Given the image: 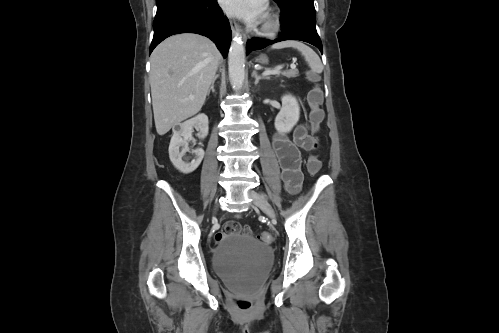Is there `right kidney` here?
I'll use <instances>...</instances> for the list:
<instances>
[{
	"label": "right kidney",
	"mask_w": 499,
	"mask_h": 333,
	"mask_svg": "<svg viewBox=\"0 0 499 333\" xmlns=\"http://www.w3.org/2000/svg\"><path fill=\"white\" fill-rule=\"evenodd\" d=\"M193 127H197L200 130V138L204 139L208 135L209 130L208 117L205 114H199L196 117L179 124V126L173 130V136L169 145V158L172 164L184 174L195 171L204 157V150L198 148L192 150V153L196 156L195 159L189 163L182 160V157L188 151L187 141L192 136ZM180 147H183L181 151H179Z\"/></svg>",
	"instance_id": "1"
}]
</instances>
